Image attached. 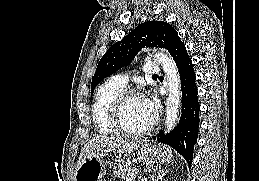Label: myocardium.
Wrapping results in <instances>:
<instances>
[{"mask_svg": "<svg viewBox=\"0 0 259 181\" xmlns=\"http://www.w3.org/2000/svg\"><path fill=\"white\" fill-rule=\"evenodd\" d=\"M140 96L139 91L135 89H124L115 99L112 107V117L113 122L115 126L117 127L118 131L122 134L130 137H138L142 136L154 129V127L157 124V116L153 118L150 124H148L146 127L141 129H130L128 128L123 119V112H124V106L126 102L133 98Z\"/></svg>", "mask_w": 259, "mask_h": 181, "instance_id": "myocardium-1", "label": "myocardium"}]
</instances>
